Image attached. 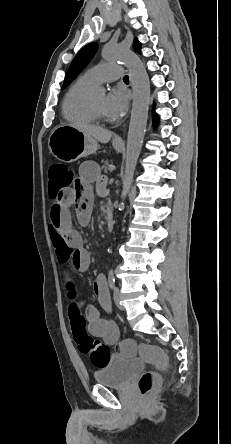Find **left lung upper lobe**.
Segmentation results:
<instances>
[{
  "label": "left lung upper lobe",
  "mask_w": 231,
  "mask_h": 444,
  "mask_svg": "<svg viewBox=\"0 0 231 444\" xmlns=\"http://www.w3.org/2000/svg\"><path fill=\"white\" fill-rule=\"evenodd\" d=\"M97 47H98L97 43L94 42L86 45L80 50V52L76 55L71 66L68 69L62 89L67 87L76 78V76L84 69V67L89 63V61L95 54ZM133 48L135 51L140 53L141 43L137 40V38L134 39Z\"/></svg>",
  "instance_id": "5c2ea615"
}]
</instances>
